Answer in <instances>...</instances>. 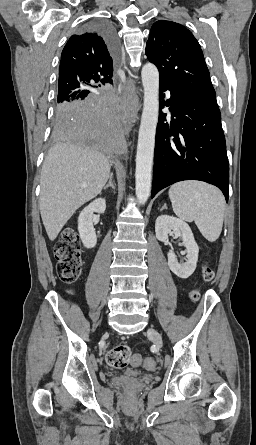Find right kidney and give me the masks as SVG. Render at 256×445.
<instances>
[{"label": "right kidney", "instance_id": "1", "mask_svg": "<svg viewBox=\"0 0 256 445\" xmlns=\"http://www.w3.org/2000/svg\"><path fill=\"white\" fill-rule=\"evenodd\" d=\"M105 210V199L98 198L81 211L78 217V231L80 239L86 248H94L97 243V236L93 226L94 212L102 214Z\"/></svg>", "mask_w": 256, "mask_h": 445}]
</instances>
